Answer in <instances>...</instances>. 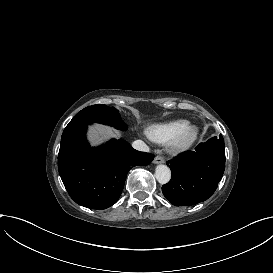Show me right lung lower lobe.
Returning <instances> with one entry per match:
<instances>
[{"label": "right lung lower lobe", "instance_id": "1", "mask_svg": "<svg viewBox=\"0 0 273 273\" xmlns=\"http://www.w3.org/2000/svg\"><path fill=\"white\" fill-rule=\"evenodd\" d=\"M88 124L73 122L64 129L58 170L67 192L77 204L106 209L120 197L128 171L136 165H148L154 155L134 150L123 139L91 147L86 140Z\"/></svg>", "mask_w": 273, "mask_h": 273}]
</instances>
